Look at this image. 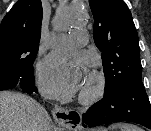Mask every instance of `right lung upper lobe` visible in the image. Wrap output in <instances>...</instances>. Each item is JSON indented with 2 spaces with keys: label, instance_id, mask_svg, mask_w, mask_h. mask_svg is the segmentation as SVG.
Listing matches in <instances>:
<instances>
[{
  "label": "right lung upper lobe",
  "instance_id": "obj_1",
  "mask_svg": "<svg viewBox=\"0 0 151 131\" xmlns=\"http://www.w3.org/2000/svg\"><path fill=\"white\" fill-rule=\"evenodd\" d=\"M41 0H19L0 24V52L20 47L38 52L42 22Z\"/></svg>",
  "mask_w": 151,
  "mask_h": 131
}]
</instances>
